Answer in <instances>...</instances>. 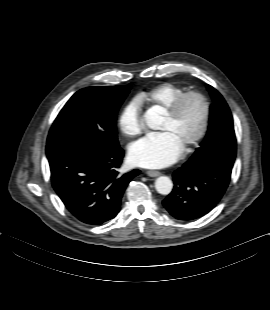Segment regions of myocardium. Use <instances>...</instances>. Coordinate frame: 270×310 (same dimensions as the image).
Returning <instances> with one entry per match:
<instances>
[{"instance_id": "f54148a6", "label": "myocardium", "mask_w": 270, "mask_h": 310, "mask_svg": "<svg viewBox=\"0 0 270 310\" xmlns=\"http://www.w3.org/2000/svg\"><path fill=\"white\" fill-rule=\"evenodd\" d=\"M188 98H196L199 100V102L201 103L202 109H203V118H202V123H201L199 131L190 140L188 145H186L183 148L182 152L184 153L191 152L202 141V139L205 137L207 133L209 122H210L209 101L203 93L197 90L185 91L181 93L180 95H178L172 101L169 107L164 111V116L170 121L174 120L181 112L182 107Z\"/></svg>"}]
</instances>
